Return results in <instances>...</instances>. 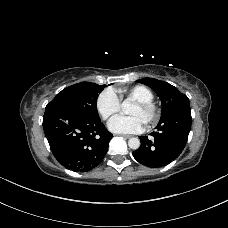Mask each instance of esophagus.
<instances>
[{
	"label": "esophagus",
	"instance_id": "esophagus-1",
	"mask_svg": "<svg viewBox=\"0 0 228 228\" xmlns=\"http://www.w3.org/2000/svg\"><path fill=\"white\" fill-rule=\"evenodd\" d=\"M119 136H121V137H123V138H126V139H129V138L132 137L131 135H125V134H121V135H119Z\"/></svg>",
	"mask_w": 228,
	"mask_h": 228
}]
</instances>
